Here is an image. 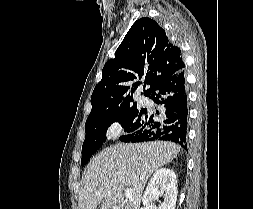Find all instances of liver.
<instances>
[{"label": "liver", "mask_w": 253, "mask_h": 209, "mask_svg": "<svg viewBox=\"0 0 253 209\" xmlns=\"http://www.w3.org/2000/svg\"><path fill=\"white\" fill-rule=\"evenodd\" d=\"M181 147L172 142L116 144L88 164L79 192L80 209H140L142 192L151 174L175 159ZM130 188L127 202L122 191Z\"/></svg>", "instance_id": "obj_1"}]
</instances>
